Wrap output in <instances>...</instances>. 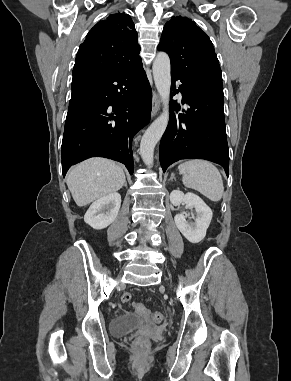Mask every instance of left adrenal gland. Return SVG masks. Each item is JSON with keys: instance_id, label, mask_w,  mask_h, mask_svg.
<instances>
[{"instance_id": "1", "label": "left adrenal gland", "mask_w": 291, "mask_h": 381, "mask_svg": "<svg viewBox=\"0 0 291 381\" xmlns=\"http://www.w3.org/2000/svg\"><path fill=\"white\" fill-rule=\"evenodd\" d=\"M175 175H174V173H171V176H170V178H169V181H172L175 177H174Z\"/></svg>"}]
</instances>
